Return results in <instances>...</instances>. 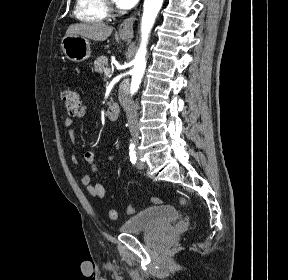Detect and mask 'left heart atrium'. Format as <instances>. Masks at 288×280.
Masks as SVG:
<instances>
[{"label": "left heart atrium", "mask_w": 288, "mask_h": 280, "mask_svg": "<svg viewBox=\"0 0 288 280\" xmlns=\"http://www.w3.org/2000/svg\"><path fill=\"white\" fill-rule=\"evenodd\" d=\"M137 0H116L117 5L122 9H128L132 7Z\"/></svg>", "instance_id": "39dd6f15"}]
</instances>
